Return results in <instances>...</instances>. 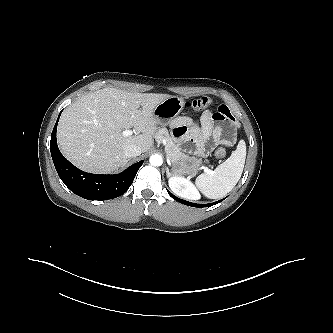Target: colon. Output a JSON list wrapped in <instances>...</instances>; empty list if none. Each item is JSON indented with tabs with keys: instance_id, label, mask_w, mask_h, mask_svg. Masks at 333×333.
<instances>
[{
	"instance_id": "colon-1",
	"label": "colon",
	"mask_w": 333,
	"mask_h": 333,
	"mask_svg": "<svg viewBox=\"0 0 333 333\" xmlns=\"http://www.w3.org/2000/svg\"><path fill=\"white\" fill-rule=\"evenodd\" d=\"M188 107L194 110H202L212 105V99L207 96H199L187 103ZM214 156L216 159H223L226 156V149L224 147L218 148Z\"/></svg>"
}]
</instances>
